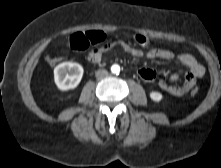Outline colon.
<instances>
[{"label": "colon", "instance_id": "obj_1", "mask_svg": "<svg viewBox=\"0 0 221 168\" xmlns=\"http://www.w3.org/2000/svg\"><path fill=\"white\" fill-rule=\"evenodd\" d=\"M105 39V35L101 31H89V32H78L70 37V48L76 51H84L88 49L91 45L100 44ZM135 41L141 46H146L149 40L146 36L138 34L135 36ZM47 63L50 66H54L59 62L57 57H47ZM192 96L198 94V88L194 87L190 91Z\"/></svg>", "mask_w": 221, "mask_h": 168}]
</instances>
